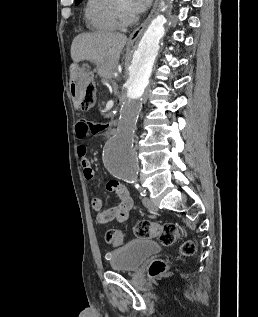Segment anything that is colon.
Instances as JSON below:
<instances>
[{"mask_svg":"<svg viewBox=\"0 0 258 317\" xmlns=\"http://www.w3.org/2000/svg\"><path fill=\"white\" fill-rule=\"evenodd\" d=\"M96 99V87L92 79L84 82L80 89V102L84 108H91ZM133 232L140 239L157 238L161 244L173 245L180 237L177 224L173 222L155 223L150 221H139L135 224ZM125 234L121 230L111 229L106 234V241L112 247H119L125 241ZM180 253L183 256H191L195 252V244L191 240L184 241L180 246ZM167 264L163 260H155L149 267V274L152 277L163 274Z\"/></svg>","mask_w":258,"mask_h":317,"instance_id":"colon-1","label":"colon"}]
</instances>
